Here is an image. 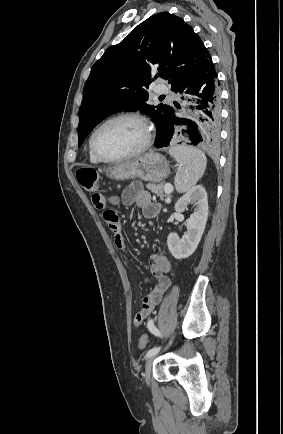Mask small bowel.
<instances>
[{"mask_svg": "<svg viewBox=\"0 0 283 434\" xmlns=\"http://www.w3.org/2000/svg\"><path fill=\"white\" fill-rule=\"evenodd\" d=\"M92 201L96 208L104 210L103 217L113 233L114 243L123 251H126L127 245L122 224L116 211L108 208L109 204H134L141 209L143 216L148 219L157 216L160 210V206L152 202L149 192L144 190L142 184L138 182L126 187L120 197H109L104 193L95 192L92 195ZM150 258V272L155 283L148 295L144 297L141 309L134 316L133 321L136 326L141 325L152 314L171 283L168 277L171 270L169 260L159 253H152Z\"/></svg>", "mask_w": 283, "mask_h": 434, "instance_id": "obj_1", "label": "small bowel"}]
</instances>
